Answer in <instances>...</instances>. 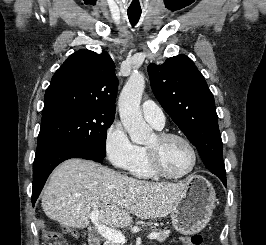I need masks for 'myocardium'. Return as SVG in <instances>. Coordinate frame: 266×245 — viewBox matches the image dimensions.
Returning <instances> with one entry per match:
<instances>
[{"instance_id": "1", "label": "myocardium", "mask_w": 266, "mask_h": 245, "mask_svg": "<svg viewBox=\"0 0 266 245\" xmlns=\"http://www.w3.org/2000/svg\"><path fill=\"white\" fill-rule=\"evenodd\" d=\"M156 136L161 141L176 138V139H179V140L183 141L184 143H186L192 152L193 161H192V165H191L190 169L185 174H183L181 176H172V175L165 173L161 169L155 155L152 152H150L147 148H145L147 163H148V166H149L151 172L153 173V175L157 178L172 180V181L184 180V179L188 178L189 176H191L193 174V172L195 171V169L198 165V160H199L197 149H196L195 145L191 142V140L182 134L174 133V132H168V131H160L156 134Z\"/></svg>"}]
</instances>
